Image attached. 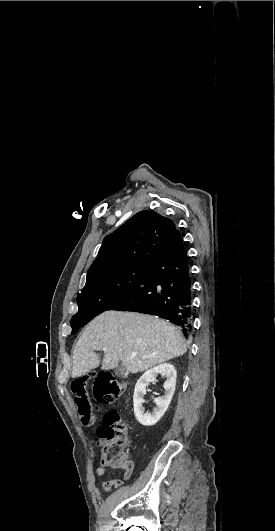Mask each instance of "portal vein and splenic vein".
<instances>
[{"instance_id": "18ae733b", "label": "portal vein and splenic vein", "mask_w": 275, "mask_h": 531, "mask_svg": "<svg viewBox=\"0 0 275 531\" xmlns=\"http://www.w3.org/2000/svg\"><path fill=\"white\" fill-rule=\"evenodd\" d=\"M103 351H107V349H103ZM132 357H137V353H132Z\"/></svg>"}]
</instances>
